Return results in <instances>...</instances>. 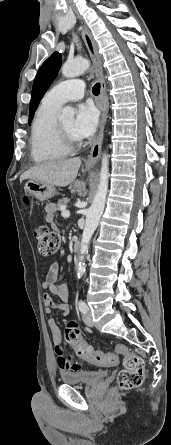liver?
Listing matches in <instances>:
<instances>
[{"instance_id":"liver-1","label":"liver","mask_w":171,"mask_h":445,"mask_svg":"<svg viewBox=\"0 0 171 445\" xmlns=\"http://www.w3.org/2000/svg\"><path fill=\"white\" fill-rule=\"evenodd\" d=\"M80 165V158L42 163L24 172L20 176V181L31 179L51 184L53 186L65 187L75 180Z\"/></svg>"}]
</instances>
